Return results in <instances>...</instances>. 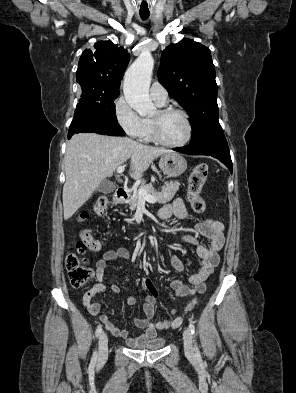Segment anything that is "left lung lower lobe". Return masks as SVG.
Here are the masks:
<instances>
[{
  "instance_id": "1",
  "label": "left lung lower lobe",
  "mask_w": 296,
  "mask_h": 393,
  "mask_svg": "<svg viewBox=\"0 0 296 393\" xmlns=\"http://www.w3.org/2000/svg\"><path fill=\"white\" fill-rule=\"evenodd\" d=\"M173 150L190 155H209L220 160L232 173V161L224 135L215 136L201 143L174 148Z\"/></svg>"
}]
</instances>
